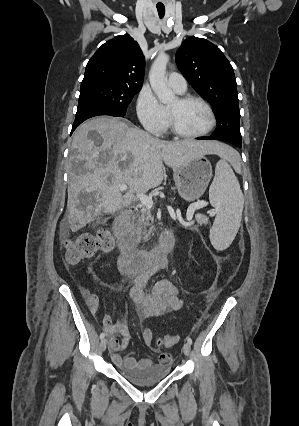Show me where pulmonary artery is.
Returning <instances> with one entry per match:
<instances>
[{
    "mask_svg": "<svg viewBox=\"0 0 299 426\" xmlns=\"http://www.w3.org/2000/svg\"><path fill=\"white\" fill-rule=\"evenodd\" d=\"M168 85L178 93H184L187 89L186 79L177 72H171L168 75Z\"/></svg>",
    "mask_w": 299,
    "mask_h": 426,
    "instance_id": "pulmonary-artery-1",
    "label": "pulmonary artery"
}]
</instances>
